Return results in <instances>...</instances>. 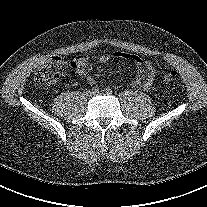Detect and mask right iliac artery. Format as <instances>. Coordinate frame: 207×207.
I'll return each instance as SVG.
<instances>
[{
    "mask_svg": "<svg viewBox=\"0 0 207 207\" xmlns=\"http://www.w3.org/2000/svg\"><path fill=\"white\" fill-rule=\"evenodd\" d=\"M92 90H93V93H99V91H100L99 88H98L97 86H96V87H93Z\"/></svg>",
    "mask_w": 207,
    "mask_h": 207,
    "instance_id": "1",
    "label": "right iliac artery"
}]
</instances>
